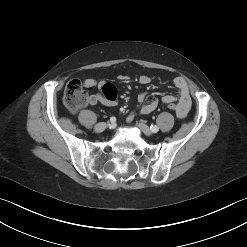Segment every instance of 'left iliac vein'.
<instances>
[{"label": "left iliac vein", "mask_w": 247, "mask_h": 247, "mask_svg": "<svg viewBox=\"0 0 247 247\" xmlns=\"http://www.w3.org/2000/svg\"><path fill=\"white\" fill-rule=\"evenodd\" d=\"M139 128L141 129V131L147 135V136H151L152 135V131L150 130L149 126H147L144 123H139L138 124Z\"/></svg>", "instance_id": "obj_1"}]
</instances>
